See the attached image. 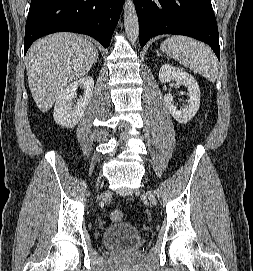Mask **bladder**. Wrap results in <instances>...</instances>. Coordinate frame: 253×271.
<instances>
[{
    "label": "bladder",
    "mask_w": 253,
    "mask_h": 271,
    "mask_svg": "<svg viewBox=\"0 0 253 271\" xmlns=\"http://www.w3.org/2000/svg\"><path fill=\"white\" fill-rule=\"evenodd\" d=\"M100 241L107 250L131 251L141 246L142 236L135 225L128 222H114L104 229Z\"/></svg>",
    "instance_id": "31cf9c89"
}]
</instances>
